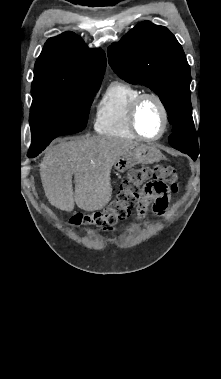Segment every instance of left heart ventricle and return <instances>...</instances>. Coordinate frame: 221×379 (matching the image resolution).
I'll return each instance as SVG.
<instances>
[{
    "mask_svg": "<svg viewBox=\"0 0 221 379\" xmlns=\"http://www.w3.org/2000/svg\"><path fill=\"white\" fill-rule=\"evenodd\" d=\"M137 124L147 137L158 135L162 129L163 117L159 105L152 99L145 100L138 111Z\"/></svg>",
    "mask_w": 221,
    "mask_h": 379,
    "instance_id": "1",
    "label": "left heart ventricle"
}]
</instances>
